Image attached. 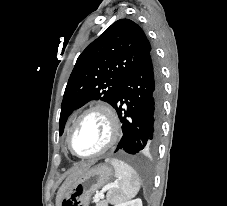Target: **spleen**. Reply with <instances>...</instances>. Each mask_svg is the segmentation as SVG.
I'll list each match as a JSON object with an SVG mask.
<instances>
[{
	"label": "spleen",
	"instance_id": "obj_1",
	"mask_svg": "<svg viewBox=\"0 0 227 206\" xmlns=\"http://www.w3.org/2000/svg\"><path fill=\"white\" fill-rule=\"evenodd\" d=\"M115 169V177L119 183L111 190V204H118L135 197L140 189V179L136 171L127 163L118 159L108 160Z\"/></svg>",
	"mask_w": 227,
	"mask_h": 206
}]
</instances>
